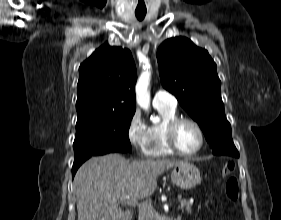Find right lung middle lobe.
Wrapping results in <instances>:
<instances>
[{
  "label": "right lung middle lobe",
  "instance_id": "right-lung-middle-lobe-1",
  "mask_svg": "<svg viewBox=\"0 0 281 220\" xmlns=\"http://www.w3.org/2000/svg\"><path fill=\"white\" fill-rule=\"evenodd\" d=\"M134 113L77 118L74 160L111 152H131L128 130Z\"/></svg>",
  "mask_w": 281,
  "mask_h": 220
}]
</instances>
